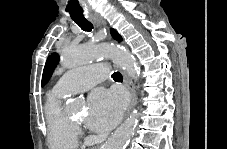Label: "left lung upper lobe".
<instances>
[{"label": "left lung upper lobe", "mask_w": 227, "mask_h": 149, "mask_svg": "<svg viewBox=\"0 0 227 149\" xmlns=\"http://www.w3.org/2000/svg\"><path fill=\"white\" fill-rule=\"evenodd\" d=\"M58 55L57 54H52L51 56L48 57L44 70H43V75H42V86H44L48 80L50 79L53 69L56 66L58 62Z\"/></svg>", "instance_id": "5c2ea615"}]
</instances>
